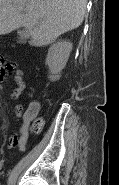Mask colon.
<instances>
[{
	"label": "colon",
	"mask_w": 119,
	"mask_h": 185,
	"mask_svg": "<svg viewBox=\"0 0 119 185\" xmlns=\"http://www.w3.org/2000/svg\"><path fill=\"white\" fill-rule=\"evenodd\" d=\"M43 119L37 116L31 117L29 129L33 133H39L43 128Z\"/></svg>",
	"instance_id": "5ec220e1"
}]
</instances>
